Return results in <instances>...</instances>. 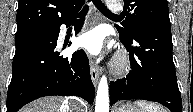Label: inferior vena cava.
Returning <instances> with one entry per match:
<instances>
[{
    "label": "inferior vena cava",
    "instance_id": "602c4592",
    "mask_svg": "<svg viewBox=\"0 0 193 112\" xmlns=\"http://www.w3.org/2000/svg\"><path fill=\"white\" fill-rule=\"evenodd\" d=\"M70 112H84L83 106L81 103H73L72 106L70 107Z\"/></svg>",
    "mask_w": 193,
    "mask_h": 112
}]
</instances>
